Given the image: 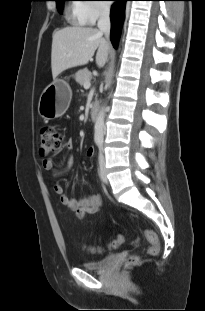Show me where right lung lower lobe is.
<instances>
[{
    "instance_id": "1",
    "label": "right lung lower lobe",
    "mask_w": 205,
    "mask_h": 311,
    "mask_svg": "<svg viewBox=\"0 0 205 311\" xmlns=\"http://www.w3.org/2000/svg\"><path fill=\"white\" fill-rule=\"evenodd\" d=\"M117 3L113 4L110 14L111 19V42L117 48L120 30L124 19V6L128 0H115Z\"/></svg>"
}]
</instances>
